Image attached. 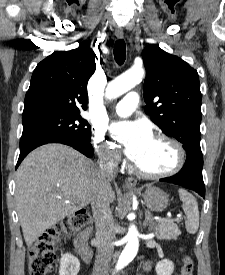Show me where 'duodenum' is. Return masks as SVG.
I'll return each instance as SVG.
<instances>
[{
  "label": "duodenum",
  "mask_w": 225,
  "mask_h": 275,
  "mask_svg": "<svg viewBox=\"0 0 225 275\" xmlns=\"http://www.w3.org/2000/svg\"><path fill=\"white\" fill-rule=\"evenodd\" d=\"M90 235V228H86L79 232L75 238V251L87 263L90 262L92 258V250L88 244Z\"/></svg>",
  "instance_id": "410a0bca"
}]
</instances>
